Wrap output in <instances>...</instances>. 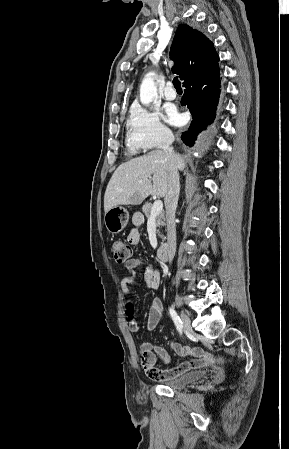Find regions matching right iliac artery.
<instances>
[{"label":"right iliac artery","instance_id":"right-iliac-artery-1","mask_svg":"<svg viewBox=\"0 0 289 449\" xmlns=\"http://www.w3.org/2000/svg\"><path fill=\"white\" fill-rule=\"evenodd\" d=\"M169 313H170V316H171L173 322L176 325L177 330L179 331L180 334H182L183 324H182L180 317L178 316V314L176 313V311L173 308L169 309Z\"/></svg>","mask_w":289,"mask_h":449}]
</instances>
